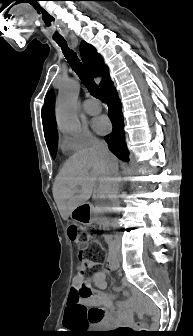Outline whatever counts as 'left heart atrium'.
<instances>
[{
    "mask_svg": "<svg viewBox=\"0 0 193 336\" xmlns=\"http://www.w3.org/2000/svg\"><path fill=\"white\" fill-rule=\"evenodd\" d=\"M110 127V121L105 116L97 117L93 121V128L100 134L107 133L110 130Z\"/></svg>",
    "mask_w": 193,
    "mask_h": 336,
    "instance_id": "left-heart-atrium-1",
    "label": "left heart atrium"
}]
</instances>
